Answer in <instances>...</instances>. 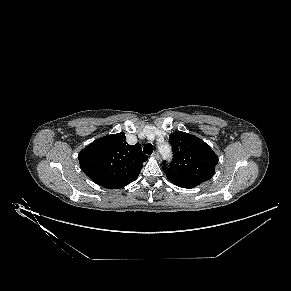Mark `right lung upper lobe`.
Here are the masks:
<instances>
[{
  "label": "right lung upper lobe",
  "instance_id": "1",
  "mask_svg": "<svg viewBox=\"0 0 291 291\" xmlns=\"http://www.w3.org/2000/svg\"><path fill=\"white\" fill-rule=\"evenodd\" d=\"M82 171L96 184L107 189L123 188L136 180L142 163L148 159L137 143L127 144L123 132L101 137L78 155Z\"/></svg>",
  "mask_w": 291,
  "mask_h": 291
}]
</instances>
